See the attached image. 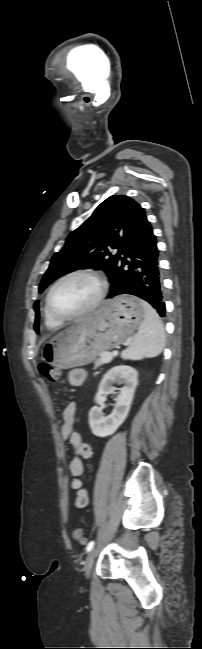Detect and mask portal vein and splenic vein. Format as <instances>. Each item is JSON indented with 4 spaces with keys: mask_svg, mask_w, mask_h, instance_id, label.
Segmentation results:
<instances>
[{
    "mask_svg": "<svg viewBox=\"0 0 202 649\" xmlns=\"http://www.w3.org/2000/svg\"><path fill=\"white\" fill-rule=\"evenodd\" d=\"M114 354H116V352H113V353L104 352V353L101 354V360H102L104 363H109V362L111 361L112 356H113Z\"/></svg>",
    "mask_w": 202,
    "mask_h": 649,
    "instance_id": "obj_1",
    "label": "portal vein and splenic vein"
}]
</instances>
